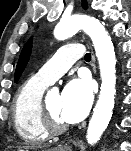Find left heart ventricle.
<instances>
[{"mask_svg": "<svg viewBox=\"0 0 131 151\" xmlns=\"http://www.w3.org/2000/svg\"><path fill=\"white\" fill-rule=\"evenodd\" d=\"M47 103L54 117L58 121L65 123V121L61 118V115H60L61 95L59 93H54V94L49 95L47 97Z\"/></svg>", "mask_w": 131, "mask_h": 151, "instance_id": "b2bd125f", "label": "left heart ventricle"}]
</instances>
